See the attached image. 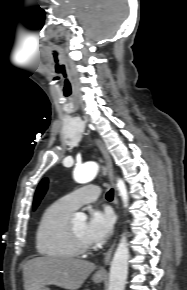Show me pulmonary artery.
<instances>
[{
	"mask_svg": "<svg viewBox=\"0 0 187 290\" xmlns=\"http://www.w3.org/2000/svg\"><path fill=\"white\" fill-rule=\"evenodd\" d=\"M100 193L101 188L98 185L89 184L66 194L61 200L71 209L76 210L81 205L96 200Z\"/></svg>",
	"mask_w": 187,
	"mask_h": 290,
	"instance_id": "pulmonary-artery-1",
	"label": "pulmonary artery"
}]
</instances>
